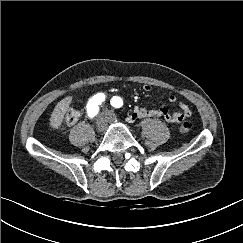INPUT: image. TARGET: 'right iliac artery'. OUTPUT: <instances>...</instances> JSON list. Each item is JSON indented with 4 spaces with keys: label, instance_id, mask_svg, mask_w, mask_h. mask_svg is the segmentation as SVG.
<instances>
[{
    "label": "right iliac artery",
    "instance_id": "right-iliac-artery-1",
    "mask_svg": "<svg viewBox=\"0 0 243 243\" xmlns=\"http://www.w3.org/2000/svg\"><path fill=\"white\" fill-rule=\"evenodd\" d=\"M105 100L103 93L94 95L87 104V113L90 118H93L99 112V105Z\"/></svg>",
    "mask_w": 243,
    "mask_h": 243
}]
</instances>
